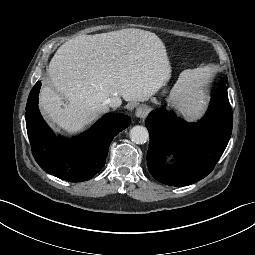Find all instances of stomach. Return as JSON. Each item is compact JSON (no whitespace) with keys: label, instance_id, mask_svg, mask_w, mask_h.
Returning a JSON list of instances; mask_svg holds the SVG:
<instances>
[{"label":"stomach","instance_id":"1","mask_svg":"<svg viewBox=\"0 0 255 255\" xmlns=\"http://www.w3.org/2000/svg\"><path fill=\"white\" fill-rule=\"evenodd\" d=\"M162 93H165V91H163ZM153 102H155V99H152Z\"/></svg>","mask_w":255,"mask_h":255}]
</instances>
